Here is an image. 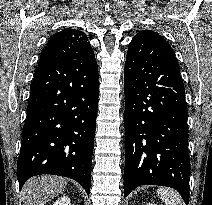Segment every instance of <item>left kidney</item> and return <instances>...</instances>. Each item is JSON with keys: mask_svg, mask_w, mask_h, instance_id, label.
Listing matches in <instances>:
<instances>
[{"mask_svg": "<svg viewBox=\"0 0 212 205\" xmlns=\"http://www.w3.org/2000/svg\"><path fill=\"white\" fill-rule=\"evenodd\" d=\"M148 205H156V204H148Z\"/></svg>", "mask_w": 212, "mask_h": 205, "instance_id": "left-kidney-1", "label": "left kidney"}]
</instances>
